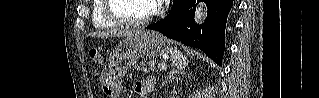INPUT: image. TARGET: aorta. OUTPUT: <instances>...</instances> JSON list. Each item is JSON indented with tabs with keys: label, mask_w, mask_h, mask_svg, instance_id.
Here are the masks:
<instances>
[{
	"label": "aorta",
	"mask_w": 319,
	"mask_h": 98,
	"mask_svg": "<svg viewBox=\"0 0 319 98\" xmlns=\"http://www.w3.org/2000/svg\"><path fill=\"white\" fill-rule=\"evenodd\" d=\"M202 16H203V8L198 7L196 11V20H200Z\"/></svg>",
	"instance_id": "762f6f07"
}]
</instances>
